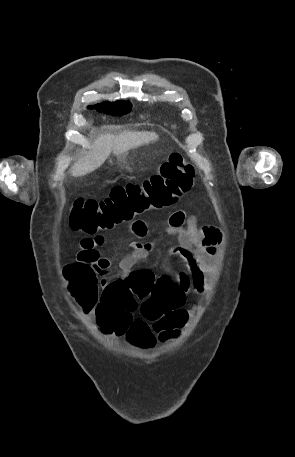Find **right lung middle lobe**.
<instances>
[{"mask_svg": "<svg viewBox=\"0 0 295 457\" xmlns=\"http://www.w3.org/2000/svg\"><path fill=\"white\" fill-rule=\"evenodd\" d=\"M89 108H95L98 112H103L106 114L122 115L128 113L131 110L132 105L129 102L117 101L113 103L105 102L95 106H89Z\"/></svg>", "mask_w": 295, "mask_h": 457, "instance_id": "dd1d6c3e", "label": "right lung middle lobe"}]
</instances>
